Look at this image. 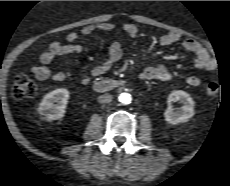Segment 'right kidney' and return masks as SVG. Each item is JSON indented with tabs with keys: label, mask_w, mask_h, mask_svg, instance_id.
<instances>
[{
	"label": "right kidney",
	"mask_w": 230,
	"mask_h": 186,
	"mask_svg": "<svg viewBox=\"0 0 230 186\" xmlns=\"http://www.w3.org/2000/svg\"><path fill=\"white\" fill-rule=\"evenodd\" d=\"M68 99L69 91L64 88H59L46 94L38 107V112L42 119L46 121L61 119L65 114Z\"/></svg>",
	"instance_id": "ca27d5eb"
}]
</instances>
